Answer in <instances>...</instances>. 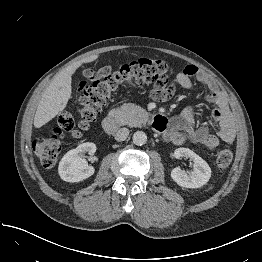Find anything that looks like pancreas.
<instances>
[{
    "instance_id": "1",
    "label": "pancreas",
    "mask_w": 262,
    "mask_h": 262,
    "mask_svg": "<svg viewBox=\"0 0 262 262\" xmlns=\"http://www.w3.org/2000/svg\"><path fill=\"white\" fill-rule=\"evenodd\" d=\"M146 114L143 108L132 103L123 104L121 107L110 111V115L116 118L120 124L130 127L141 126Z\"/></svg>"
}]
</instances>
